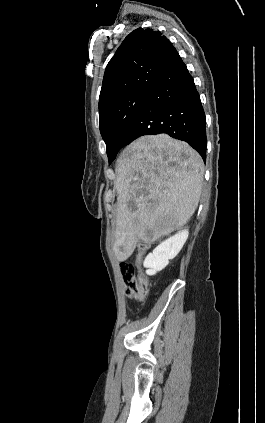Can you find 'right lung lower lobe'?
<instances>
[{"instance_id": "right-lung-lower-lobe-1", "label": "right lung lower lobe", "mask_w": 265, "mask_h": 423, "mask_svg": "<svg viewBox=\"0 0 265 423\" xmlns=\"http://www.w3.org/2000/svg\"><path fill=\"white\" fill-rule=\"evenodd\" d=\"M165 133L186 141L206 160L205 113L179 54L151 88L118 138V151L144 135Z\"/></svg>"}]
</instances>
